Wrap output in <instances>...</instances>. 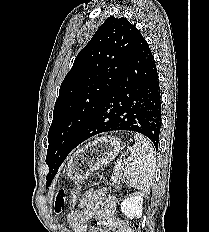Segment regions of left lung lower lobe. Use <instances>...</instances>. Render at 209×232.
<instances>
[{
	"instance_id": "obj_1",
	"label": "left lung lower lobe",
	"mask_w": 209,
	"mask_h": 232,
	"mask_svg": "<svg viewBox=\"0 0 209 232\" xmlns=\"http://www.w3.org/2000/svg\"><path fill=\"white\" fill-rule=\"evenodd\" d=\"M161 98L156 64L142 36L117 85L77 136L73 149L102 132L127 130L148 137L158 149Z\"/></svg>"
}]
</instances>
